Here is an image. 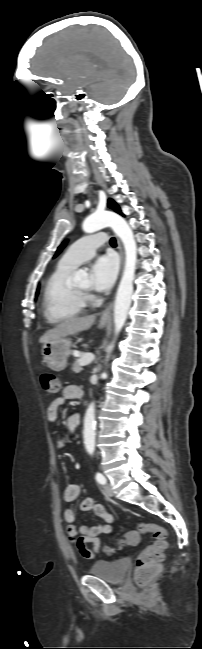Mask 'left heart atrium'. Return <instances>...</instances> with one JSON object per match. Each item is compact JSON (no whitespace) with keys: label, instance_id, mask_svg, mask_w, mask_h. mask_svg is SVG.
<instances>
[{"label":"left heart atrium","instance_id":"left-heart-atrium-1","mask_svg":"<svg viewBox=\"0 0 202 649\" xmlns=\"http://www.w3.org/2000/svg\"><path fill=\"white\" fill-rule=\"evenodd\" d=\"M118 272V261L108 254L97 258L91 266L90 284L97 291H108L115 282Z\"/></svg>","mask_w":202,"mask_h":649}]
</instances>
